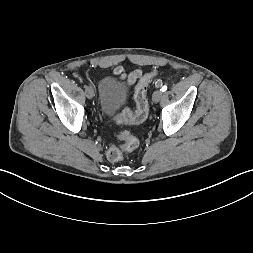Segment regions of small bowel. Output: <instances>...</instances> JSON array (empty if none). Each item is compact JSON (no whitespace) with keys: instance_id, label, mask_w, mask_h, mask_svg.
Listing matches in <instances>:
<instances>
[{"instance_id":"obj_1","label":"small bowel","mask_w":253,"mask_h":253,"mask_svg":"<svg viewBox=\"0 0 253 253\" xmlns=\"http://www.w3.org/2000/svg\"><path fill=\"white\" fill-rule=\"evenodd\" d=\"M113 73L116 76L124 79L128 86L134 84L142 75V72L139 69H136L130 73H126L122 67H116Z\"/></svg>"}]
</instances>
